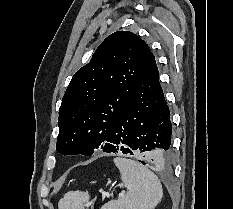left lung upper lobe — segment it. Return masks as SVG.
<instances>
[{
	"label": "left lung upper lobe",
	"instance_id": "obj_1",
	"mask_svg": "<svg viewBox=\"0 0 233 209\" xmlns=\"http://www.w3.org/2000/svg\"><path fill=\"white\" fill-rule=\"evenodd\" d=\"M154 60L134 33L109 35L69 83L59 108L56 150L90 156L102 149L112 123Z\"/></svg>",
	"mask_w": 233,
	"mask_h": 209
}]
</instances>
